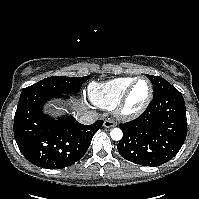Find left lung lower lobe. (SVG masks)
I'll list each match as a JSON object with an SVG mask.
<instances>
[{"label":"left lung lower lobe","instance_id":"0a47b994","mask_svg":"<svg viewBox=\"0 0 199 199\" xmlns=\"http://www.w3.org/2000/svg\"><path fill=\"white\" fill-rule=\"evenodd\" d=\"M123 138L120 155L143 166H159L171 160L187 135L186 108L179 91L153 98L137 119L119 125Z\"/></svg>","mask_w":199,"mask_h":199}]
</instances>
